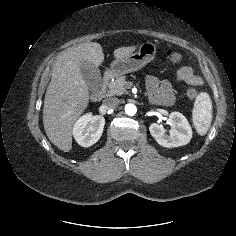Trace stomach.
<instances>
[{
  "instance_id": "1",
  "label": "stomach",
  "mask_w": 236,
  "mask_h": 236,
  "mask_svg": "<svg viewBox=\"0 0 236 236\" xmlns=\"http://www.w3.org/2000/svg\"><path fill=\"white\" fill-rule=\"evenodd\" d=\"M156 51L157 48L154 43L144 42L137 52L115 59L111 63L110 72L114 76L135 72L151 62L155 58Z\"/></svg>"
}]
</instances>
